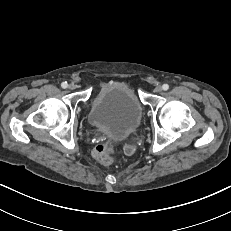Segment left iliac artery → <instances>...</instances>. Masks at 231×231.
<instances>
[{
  "label": "left iliac artery",
  "mask_w": 231,
  "mask_h": 231,
  "mask_svg": "<svg viewBox=\"0 0 231 231\" xmlns=\"http://www.w3.org/2000/svg\"><path fill=\"white\" fill-rule=\"evenodd\" d=\"M162 88H163V90H168L169 89V85L168 84H163V86H162Z\"/></svg>",
  "instance_id": "obj_1"
}]
</instances>
